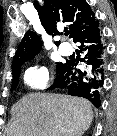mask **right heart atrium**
<instances>
[{"mask_svg":"<svg viewBox=\"0 0 117 136\" xmlns=\"http://www.w3.org/2000/svg\"><path fill=\"white\" fill-rule=\"evenodd\" d=\"M23 81L28 88L41 90L48 84L49 73L44 66H33L25 71Z\"/></svg>","mask_w":117,"mask_h":136,"instance_id":"obj_1","label":"right heart atrium"}]
</instances>
